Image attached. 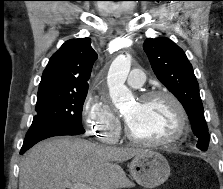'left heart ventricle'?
I'll use <instances>...</instances> for the list:
<instances>
[{
    "mask_svg": "<svg viewBox=\"0 0 223 189\" xmlns=\"http://www.w3.org/2000/svg\"><path fill=\"white\" fill-rule=\"evenodd\" d=\"M132 131L144 138L157 139L171 136L178 127L175 107L167 98H155L133 103L124 114Z\"/></svg>",
    "mask_w": 223,
    "mask_h": 189,
    "instance_id": "obj_1",
    "label": "left heart ventricle"
}]
</instances>
